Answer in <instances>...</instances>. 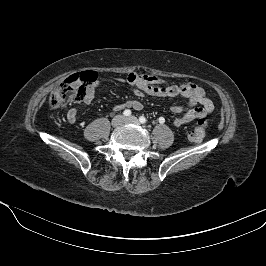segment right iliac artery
I'll return each instance as SVG.
<instances>
[{"mask_svg":"<svg viewBox=\"0 0 266 266\" xmlns=\"http://www.w3.org/2000/svg\"><path fill=\"white\" fill-rule=\"evenodd\" d=\"M124 116H130L131 115V110L129 109H126L124 112H123Z\"/></svg>","mask_w":266,"mask_h":266,"instance_id":"right-iliac-artery-1","label":"right iliac artery"}]
</instances>
